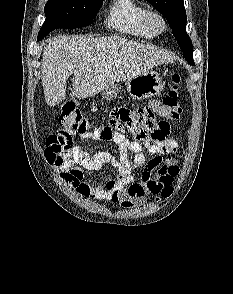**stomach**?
<instances>
[{
    "instance_id": "obj_1",
    "label": "stomach",
    "mask_w": 233,
    "mask_h": 294,
    "mask_svg": "<svg viewBox=\"0 0 233 294\" xmlns=\"http://www.w3.org/2000/svg\"><path fill=\"white\" fill-rule=\"evenodd\" d=\"M127 92L133 99H148L154 97L163 89L162 78L156 71L148 70L136 77L126 80ZM121 91L118 84H113L102 92L103 99H116Z\"/></svg>"
}]
</instances>
